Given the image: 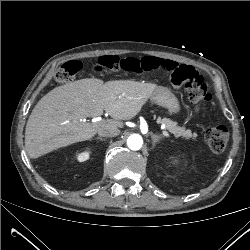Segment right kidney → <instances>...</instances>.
<instances>
[{
    "mask_svg": "<svg viewBox=\"0 0 250 250\" xmlns=\"http://www.w3.org/2000/svg\"><path fill=\"white\" fill-rule=\"evenodd\" d=\"M89 156H90V153L88 151H85L77 155V160L79 162H84L89 159Z\"/></svg>",
    "mask_w": 250,
    "mask_h": 250,
    "instance_id": "ca27d5eb",
    "label": "right kidney"
}]
</instances>
